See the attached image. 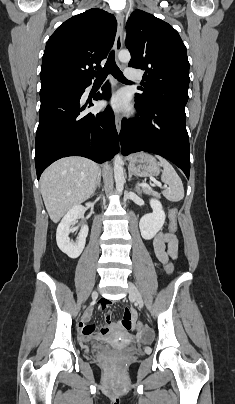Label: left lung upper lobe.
<instances>
[{"label":"left lung upper lobe","instance_id":"5c2ea615","mask_svg":"<svg viewBox=\"0 0 235 404\" xmlns=\"http://www.w3.org/2000/svg\"><path fill=\"white\" fill-rule=\"evenodd\" d=\"M129 67L145 70L141 93L135 99L149 105L171 100L188 101L189 62L178 32L168 23L141 10L134 11L126 24Z\"/></svg>","mask_w":235,"mask_h":404}]
</instances>
